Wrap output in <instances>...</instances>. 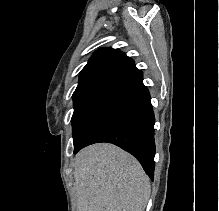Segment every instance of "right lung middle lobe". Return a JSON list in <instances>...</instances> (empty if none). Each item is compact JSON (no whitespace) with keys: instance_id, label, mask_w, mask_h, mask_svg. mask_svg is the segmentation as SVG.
Listing matches in <instances>:
<instances>
[{"instance_id":"1","label":"right lung middle lobe","mask_w":219,"mask_h":211,"mask_svg":"<svg viewBox=\"0 0 219 211\" xmlns=\"http://www.w3.org/2000/svg\"><path fill=\"white\" fill-rule=\"evenodd\" d=\"M111 89H97L73 96L74 113L72 116L73 140L76 141L93 113Z\"/></svg>"}]
</instances>
